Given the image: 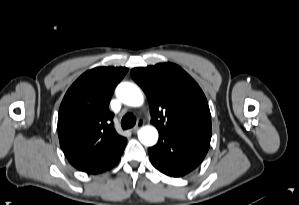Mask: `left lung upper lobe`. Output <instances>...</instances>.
<instances>
[{
  "instance_id": "5c2ea615",
  "label": "left lung upper lobe",
  "mask_w": 299,
  "mask_h": 205,
  "mask_svg": "<svg viewBox=\"0 0 299 205\" xmlns=\"http://www.w3.org/2000/svg\"><path fill=\"white\" fill-rule=\"evenodd\" d=\"M133 80L147 95L151 123L160 135H183L211 140V115L198 84L179 66L160 63L134 68Z\"/></svg>"
}]
</instances>
